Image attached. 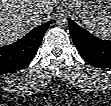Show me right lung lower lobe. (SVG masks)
Here are the masks:
<instances>
[{"mask_svg": "<svg viewBox=\"0 0 111 106\" xmlns=\"http://www.w3.org/2000/svg\"><path fill=\"white\" fill-rule=\"evenodd\" d=\"M50 21L42 24L13 44L0 47V72H12L23 68L34 58Z\"/></svg>", "mask_w": 111, "mask_h": 106, "instance_id": "1", "label": "right lung lower lobe"}]
</instances>
